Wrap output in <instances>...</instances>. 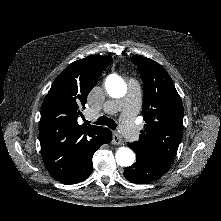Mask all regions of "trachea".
<instances>
[{
    "label": "trachea",
    "mask_w": 221,
    "mask_h": 221,
    "mask_svg": "<svg viewBox=\"0 0 221 221\" xmlns=\"http://www.w3.org/2000/svg\"><path fill=\"white\" fill-rule=\"evenodd\" d=\"M85 123L89 124L90 122L85 120ZM95 124H97V125H106L110 129H113V130H115L116 126H117L113 119L108 118L106 116H101L100 118H98L97 121L95 122Z\"/></svg>",
    "instance_id": "obj_1"
}]
</instances>
